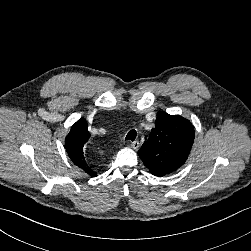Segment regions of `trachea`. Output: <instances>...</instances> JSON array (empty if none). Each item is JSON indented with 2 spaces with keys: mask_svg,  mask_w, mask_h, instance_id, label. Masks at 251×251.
Returning a JSON list of instances; mask_svg holds the SVG:
<instances>
[{
  "mask_svg": "<svg viewBox=\"0 0 251 251\" xmlns=\"http://www.w3.org/2000/svg\"><path fill=\"white\" fill-rule=\"evenodd\" d=\"M136 136H137L136 130L132 129V130H130V131L128 132V134L126 135L125 140L134 141L135 138H136Z\"/></svg>",
  "mask_w": 251,
  "mask_h": 251,
  "instance_id": "1",
  "label": "trachea"
}]
</instances>
